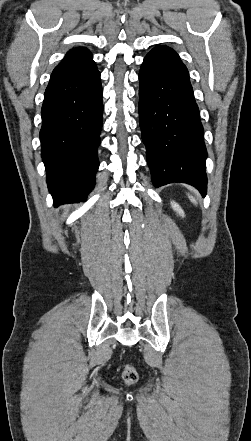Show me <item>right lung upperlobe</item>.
Returning <instances> with one entry per match:
<instances>
[{
    "mask_svg": "<svg viewBox=\"0 0 251 441\" xmlns=\"http://www.w3.org/2000/svg\"><path fill=\"white\" fill-rule=\"evenodd\" d=\"M95 65L91 52L83 47L71 49L53 71H77Z\"/></svg>",
    "mask_w": 251,
    "mask_h": 441,
    "instance_id": "1",
    "label": "right lung upper lobe"
}]
</instances>
